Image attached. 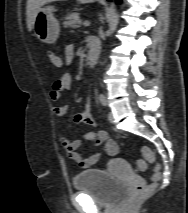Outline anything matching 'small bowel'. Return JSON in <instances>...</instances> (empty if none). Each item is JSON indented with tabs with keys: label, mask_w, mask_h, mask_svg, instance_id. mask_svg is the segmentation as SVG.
<instances>
[{
	"label": "small bowel",
	"mask_w": 188,
	"mask_h": 213,
	"mask_svg": "<svg viewBox=\"0 0 188 213\" xmlns=\"http://www.w3.org/2000/svg\"><path fill=\"white\" fill-rule=\"evenodd\" d=\"M75 53V48L72 44L65 47L64 59L65 62L69 63L72 61ZM58 59V64L54 63L51 59V63L54 67H61L63 65V60L60 56L56 55ZM72 87V79L70 75H64L60 79L56 80L51 87L50 99L52 101L60 100L62 93L70 91ZM68 110L66 105H58L53 108V114L56 118H62ZM72 121L75 124H87L92 127H98L97 119L91 114L89 102L86 103L83 112L77 113L72 117ZM83 141H93L97 145H102V152H97L89 156H83L79 152V147ZM62 146L64 147L67 156L72 161L78 163L82 168H89L95 165L102 153L114 156L118 153V144L115 140L111 139L108 133L104 130H93L85 133L82 139L71 140L63 137L61 140Z\"/></svg>",
	"instance_id": "c3829d8e"
}]
</instances>
